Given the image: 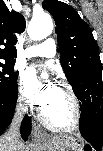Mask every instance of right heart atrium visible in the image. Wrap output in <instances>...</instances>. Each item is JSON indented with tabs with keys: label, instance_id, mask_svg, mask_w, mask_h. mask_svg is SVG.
Wrapping results in <instances>:
<instances>
[{
	"label": "right heart atrium",
	"instance_id": "right-heart-atrium-1",
	"mask_svg": "<svg viewBox=\"0 0 103 151\" xmlns=\"http://www.w3.org/2000/svg\"><path fill=\"white\" fill-rule=\"evenodd\" d=\"M17 102H18V106L23 110L28 109V107L30 105L28 99L26 98V96L21 88H19V91H18Z\"/></svg>",
	"mask_w": 103,
	"mask_h": 151
}]
</instances>
